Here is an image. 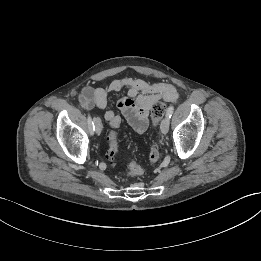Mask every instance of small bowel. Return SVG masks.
<instances>
[{
    "label": "small bowel",
    "instance_id": "c3829d8e",
    "mask_svg": "<svg viewBox=\"0 0 261 261\" xmlns=\"http://www.w3.org/2000/svg\"><path fill=\"white\" fill-rule=\"evenodd\" d=\"M127 90V95L117 102V109L125 117L131 127L138 133L146 131L149 111L158 101L175 102L179 93L174 85L167 82H148L142 79H114L104 87L86 86L79 95L83 108L103 110L108 103V93ZM120 118L113 110H107L104 118L111 121Z\"/></svg>",
    "mask_w": 261,
    "mask_h": 261
}]
</instances>
